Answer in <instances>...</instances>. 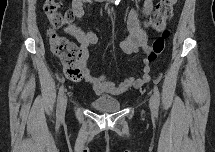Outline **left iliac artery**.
Masks as SVG:
<instances>
[{
	"mask_svg": "<svg viewBox=\"0 0 215 152\" xmlns=\"http://www.w3.org/2000/svg\"><path fill=\"white\" fill-rule=\"evenodd\" d=\"M154 107H155V113L158 112V108H159V104H160V94H159V90L158 87L156 85H154Z\"/></svg>",
	"mask_w": 215,
	"mask_h": 152,
	"instance_id": "44dca946",
	"label": "left iliac artery"
}]
</instances>
